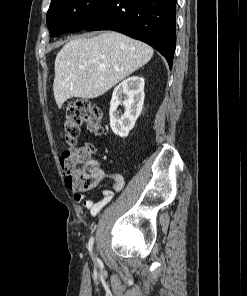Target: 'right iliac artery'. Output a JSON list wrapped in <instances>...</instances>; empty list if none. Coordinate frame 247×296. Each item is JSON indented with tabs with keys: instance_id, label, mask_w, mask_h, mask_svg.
Listing matches in <instances>:
<instances>
[{
	"instance_id": "obj_1",
	"label": "right iliac artery",
	"mask_w": 247,
	"mask_h": 296,
	"mask_svg": "<svg viewBox=\"0 0 247 296\" xmlns=\"http://www.w3.org/2000/svg\"><path fill=\"white\" fill-rule=\"evenodd\" d=\"M89 251L90 253H92V248H93V237H91V239L89 240Z\"/></svg>"
}]
</instances>
